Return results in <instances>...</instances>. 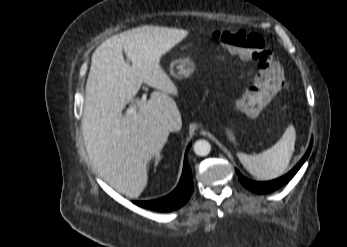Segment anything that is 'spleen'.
<instances>
[{"label": "spleen", "instance_id": "spleen-1", "mask_svg": "<svg viewBox=\"0 0 347 247\" xmlns=\"http://www.w3.org/2000/svg\"><path fill=\"white\" fill-rule=\"evenodd\" d=\"M296 130L289 125L281 139L261 154L250 156L239 153L243 167L254 177L261 180L277 178L287 169L295 151Z\"/></svg>", "mask_w": 347, "mask_h": 247}]
</instances>
